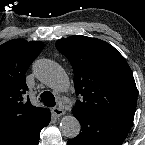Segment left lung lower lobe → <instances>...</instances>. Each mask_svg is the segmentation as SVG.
I'll return each instance as SVG.
<instances>
[{"label": "left lung lower lobe", "instance_id": "left-lung-lower-lobe-1", "mask_svg": "<svg viewBox=\"0 0 145 145\" xmlns=\"http://www.w3.org/2000/svg\"><path fill=\"white\" fill-rule=\"evenodd\" d=\"M81 124L80 134L68 140V145H121L134 117L119 115H92L73 112Z\"/></svg>", "mask_w": 145, "mask_h": 145}]
</instances>
